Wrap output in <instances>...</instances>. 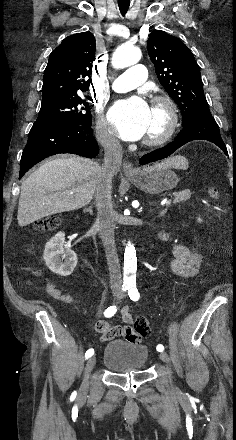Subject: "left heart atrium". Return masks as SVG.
Instances as JSON below:
<instances>
[{
    "mask_svg": "<svg viewBox=\"0 0 236 440\" xmlns=\"http://www.w3.org/2000/svg\"><path fill=\"white\" fill-rule=\"evenodd\" d=\"M109 120L120 138L127 141L138 140L147 132L151 108L142 97H130L114 104Z\"/></svg>",
    "mask_w": 236,
    "mask_h": 440,
    "instance_id": "39dd6f15",
    "label": "left heart atrium"
}]
</instances>
